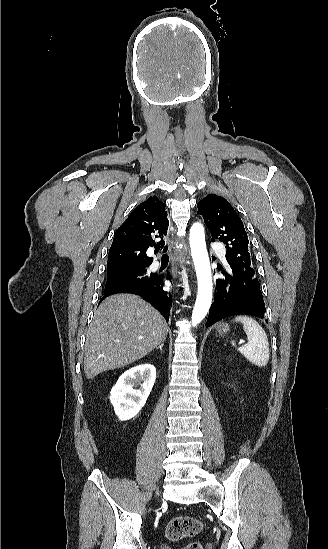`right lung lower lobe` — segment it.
I'll use <instances>...</instances> for the list:
<instances>
[{
	"instance_id": "98d812e1",
	"label": "right lung lower lobe",
	"mask_w": 328,
	"mask_h": 549,
	"mask_svg": "<svg viewBox=\"0 0 328 549\" xmlns=\"http://www.w3.org/2000/svg\"><path fill=\"white\" fill-rule=\"evenodd\" d=\"M165 280H171L169 272L167 274L156 273L148 282L142 284H130L127 286L119 287L117 289L104 292V296L100 302L107 296L115 293H134L145 298L151 303L166 319L169 321L170 307L172 304V297L170 293L163 290Z\"/></svg>"
}]
</instances>
